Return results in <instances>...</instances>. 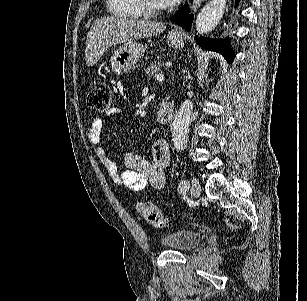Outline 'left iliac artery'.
<instances>
[{"label":"left iliac artery","instance_id":"left-iliac-artery-1","mask_svg":"<svg viewBox=\"0 0 307 301\" xmlns=\"http://www.w3.org/2000/svg\"><path fill=\"white\" fill-rule=\"evenodd\" d=\"M190 187V184L187 180H182L179 184V188L181 192H186Z\"/></svg>","mask_w":307,"mask_h":301}]
</instances>
